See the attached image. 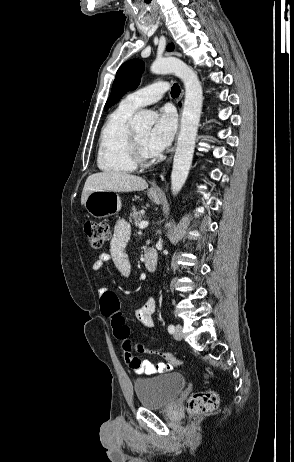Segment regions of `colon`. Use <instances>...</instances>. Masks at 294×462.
<instances>
[{
	"label": "colon",
	"instance_id": "5ec220e1",
	"mask_svg": "<svg viewBox=\"0 0 294 462\" xmlns=\"http://www.w3.org/2000/svg\"><path fill=\"white\" fill-rule=\"evenodd\" d=\"M83 228L89 245L95 249H100L111 236V229L106 222L89 220L84 223ZM100 308L102 314L110 319L115 336L122 341L124 357L130 367L136 368L141 362L138 357L134 356V350L160 355L174 365L182 364V361L172 353L146 350L143 346L134 344L130 339L129 328L120 311L119 299L114 292L109 290L101 296ZM219 402V396L214 391L197 392L189 398L187 409L193 414L208 413L214 411L219 406Z\"/></svg>",
	"mask_w": 294,
	"mask_h": 462
}]
</instances>
